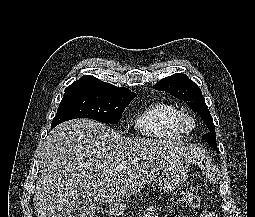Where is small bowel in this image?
<instances>
[{
  "label": "small bowel",
  "instance_id": "obj_1",
  "mask_svg": "<svg viewBox=\"0 0 255 217\" xmlns=\"http://www.w3.org/2000/svg\"><path fill=\"white\" fill-rule=\"evenodd\" d=\"M144 217H159L156 207H154V206L149 207L146 210ZM199 217H219V214L214 211H206V212H203L202 214H200Z\"/></svg>",
  "mask_w": 255,
  "mask_h": 217
}]
</instances>
